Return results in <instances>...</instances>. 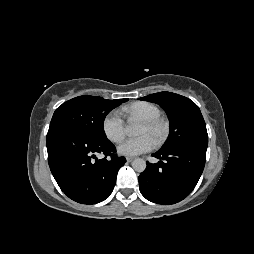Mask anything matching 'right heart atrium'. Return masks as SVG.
Listing matches in <instances>:
<instances>
[{
	"label": "right heart atrium",
	"mask_w": 254,
	"mask_h": 254,
	"mask_svg": "<svg viewBox=\"0 0 254 254\" xmlns=\"http://www.w3.org/2000/svg\"><path fill=\"white\" fill-rule=\"evenodd\" d=\"M102 130L108 140L119 143L125 136L124 121L117 111H110L102 120Z\"/></svg>",
	"instance_id": "obj_1"
}]
</instances>
